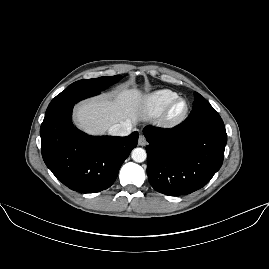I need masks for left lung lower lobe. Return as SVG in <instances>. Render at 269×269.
<instances>
[{
	"mask_svg": "<svg viewBox=\"0 0 269 269\" xmlns=\"http://www.w3.org/2000/svg\"><path fill=\"white\" fill-rule=\"evenodd\" d=\"M147 174L152 187L169 196L190 194L220 169L227 134L223 120L185 121L172 129L146 126Z\"/></svg>",
	"mask_w": 269,
	"mask_h": 269,
	"instance_id": "left-lung-lower-lobe-1",
	"label": "left lung lower lobe"
}]
</instances>
